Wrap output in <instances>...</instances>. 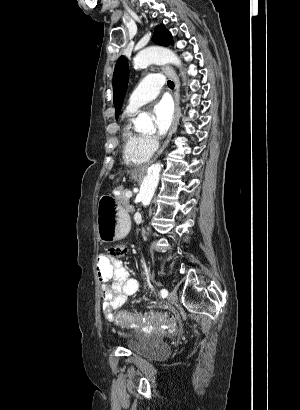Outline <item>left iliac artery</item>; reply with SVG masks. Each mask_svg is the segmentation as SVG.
I'll return each mask as SVG.
<instances>
[{
  "label": "left iliac artery",
  "mask_w": 300,
  "mask_h": 410,
  "mask_svg": "<svg viewBox=\"0 0 300 410\" xmlns=\"http://www.w3.org/2000/svg\"><path fill=\"white\" fill-rule=\"evenodd\" d=\"M160 295L162 296V298H166L168 296V291L166 289H162L160 291Z\"/></svg>",
  "instance_id": "left-iliac-artery-1"
}]
</instances>
